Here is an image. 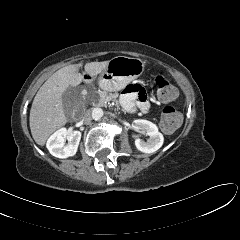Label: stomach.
<instances>
[{
	"mask_svg": "<svg viewBox=\"0 0 240 240\" xmlns=\"http://www.w3.org/2000/svg\"><path fill=\"white\" fill-rule=\"evenodd\" d=\"M145 68L139 58L117 56L112 58L98 76L99 87L106 91H119L137 79Z\"/></svg>",
	"mask_w": 240,
	"mask_h": 240,
	"instance_id": "stomach-1",
	"label": "stomach"
}]
</instances>
